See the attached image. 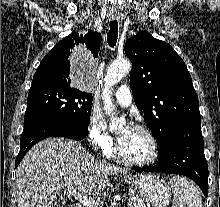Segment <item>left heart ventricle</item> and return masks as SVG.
<instances>
[{"label":"left heart ventricle","instance_id":"1","mask_svg":"<svg viewBox=\"0 0 220 207\" xmlns=\"http://www.w3.org/2000/svg\"><path fill=\"white\" fill-rule=\"evenodd\" d=\"M118 142L123 154L133 160H144L152 152L149 138L145 133L135 128H131L129 131L121 128L118 132Z\"/></svg>","mask_w":220,"mask_h":207}]
</instances>
